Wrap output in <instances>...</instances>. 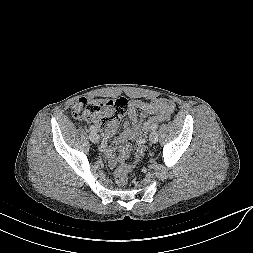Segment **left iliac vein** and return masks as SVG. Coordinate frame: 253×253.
Instances as JSON below:
<instances>
[{
  "instance_id": "obj_1",
  "label": "left iliac vein",
  "mask_w": 253,
  "mask_h": 253,
  "mask_svg": "<svg viewBox=\"0 0 253 253\" xmlns=\"http://www.w3.org/2000/svg\"><path fill=\"white\" fill-rule=\"evenodd\" d=\"M149 140L151 144H155L158 141V133L156 131H152Z\"/></svg>"
}]
</instances>
